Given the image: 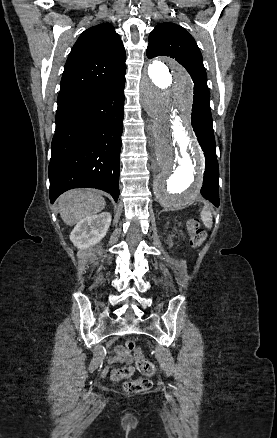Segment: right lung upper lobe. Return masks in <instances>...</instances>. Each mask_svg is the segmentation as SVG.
<instances>
[{
    "label": "right lung upper lobe",
    "mask_w": 277,
    "mask_h": 438,
    "mask_svg": "<svg viewBox=\"0 0 277 438\" xmlns=\"http://www.w3.org/2000/svg\"><path fill=\"white\" fill-rule=\"evenodd\" d=\"M126 53L114 27L102 23L85 30L74 44L61 79L58 103L103 86L125 74ZM107 66V69L97 66Z\"/></svg>",
    "instance_id": "right-lung-upper-lobe-1"
}]
</instances>
